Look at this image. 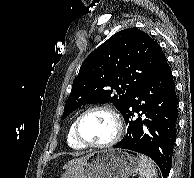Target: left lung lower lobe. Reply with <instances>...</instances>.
<instances>
[{
    "label": "left lung lower lobe",
    "mask_w": 194,
    "mask_h": 178,
    "mask_svg": "<svg viewBox=\"0 0 194 178\" xmlns=\"http://www.w3.org/2000/svg\"><path fill=\"white\" fill-rule=\"evenodd\" d=\"M134 113H138L139 117L135 119ZM121 114L127 132L114 147L150 157L160 167L163 178H167L178 119V99L168 63L156 76L129 95ZM142 114L146 117L144 120L140 117Z\"/></svg>",
    "instance_id": "1"
}]
</instances>
